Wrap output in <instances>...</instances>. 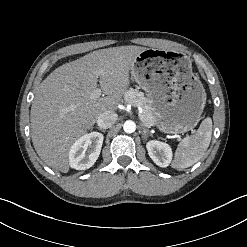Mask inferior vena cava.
I'll return each instance as SVG.
<instances>
[{
	"instance_id": "602c4592",
	"label": "inferior vena cava",
	"mask_w": 247,
	"mask_h": 247,
	"mask_svg": "<svg viewBox=\"0 0 247 247\" xmlns=\"http://www.w3.org/2000/svg\"><path fill=\"white\" fill-rule=\"evenodd\" d=\"M118 116L115 112L105 111L101 113L97 118V125L100 128L107 129L113 126V124L117 121Z\"/></svg>"
}]
</instances>
